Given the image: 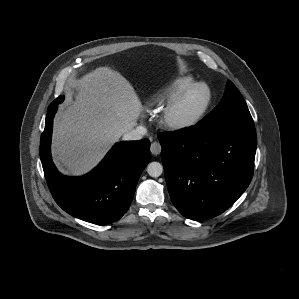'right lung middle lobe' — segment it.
<instances>
[{
  "mask_svg": "<svg viewBox=\"0 0 299 299\" xmlns=\"http://www.w3.org/2000/svg\"><path fill=\"white\" fill-rule=\"evenodd\" d=\"M63 99H64V97L60 96L55 101L58 102V103H61L63 101Z\"/></svg>",
  "mask_w": 299,
  "mask_h": 299,
  "instance_id": "obj_1",
  "label": "right lung middle lobe"
}]
</instances>
